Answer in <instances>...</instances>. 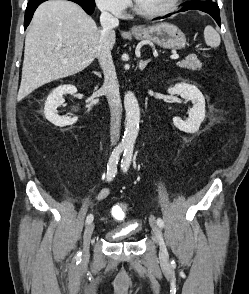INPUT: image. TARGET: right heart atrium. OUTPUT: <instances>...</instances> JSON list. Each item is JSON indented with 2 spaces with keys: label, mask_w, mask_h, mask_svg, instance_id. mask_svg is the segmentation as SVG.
<instances>
[{
  "label": "right heart atrium",
  "mask_w": 249,
  "mask_h": 294,
  "mask_svg": "<svg viewBox=\"0 0 249 294\" xmlns=\"http://www.w3.org/2000/svg\"><path fill=\"white\" fill-rule=\"evenodd\" d=\"M96 6L107 13L117 17L125 15L129 5V0H94Z\"/></svg>",
  "instance_id": "obj_1"
}]
</instances>
